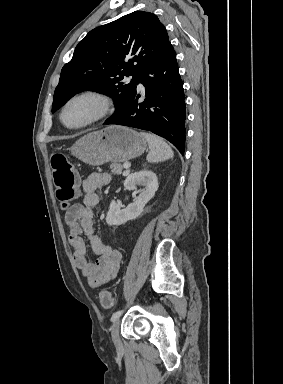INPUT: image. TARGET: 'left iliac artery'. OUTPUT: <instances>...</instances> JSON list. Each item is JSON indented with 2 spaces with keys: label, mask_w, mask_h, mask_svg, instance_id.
Instances as JSON below:
<instances>
[{
  "label": "left iliac artery",
  "mask_w": 283,
  "mask_h": 384,
  "mask_svg": "<svg viewBox=\"0 0 283 384\" xmlns=\"http://www.w3.org/2000/svg\"><path fill=\"white\" fill-rule=\"evenodd\" d=\"M122 313H123V310H118V311H116V312L113 314V316H112V318H111V321L114 322L116 319H118V318L121 316Z\"/></svg>",
  "instance_id": "left-iliac-artery-1"
}]
</instances>
